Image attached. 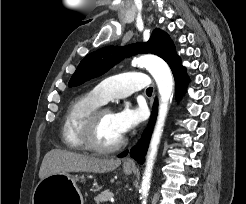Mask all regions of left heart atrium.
Listing matches in <instances>:
<instances>
[{
  "instance_id": "1",
  "label": "left heart atrium",
  "mask_w": 246,
  "mask_h": 204,
  "mask_svg": "<svg viewBox=\"0 0 246 204\" xmlns=\"http://www.w3.org/2000/svg\"><path fill=\"white\" fill-rule=\"evenodd\" d=\"M115 125L118 131L124 135L136 128L144 119L142 108L124 107L119 112L113 114Z\"/></svg>"
}]
</instances>
